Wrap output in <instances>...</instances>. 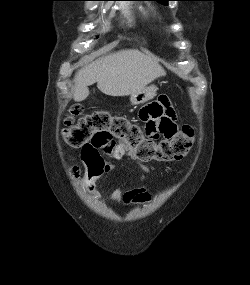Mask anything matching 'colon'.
Masks as SVG:
<instances>
[{"mask_svg": "<svg viewBox=\"0 0 250 285\" xmlns=\"http://www.w3.org/2000/svg\"><path fill=\"white\" fill-rule=\"evenodd\" d=\"M79 113V107L72 111L73 116ZM194 135V127L185 124L176 136H167V141H150V136H143L138 124L107 111H94L77 122L70 117L63 130L65 141L72 147L104 149L113 153L117 148L116 140H120L133 158L144 162L180 160L189 152Z\"/></svg>", "mask_w": 250, "mask_h": 285, "instance_id": "colon-1", "label": "colon"}]
</instances>
